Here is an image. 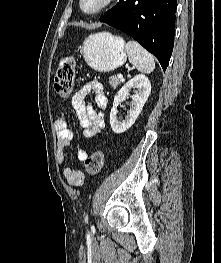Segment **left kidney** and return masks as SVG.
Listing matches in <instances>:
<instances>
[{"mask_svg": "<svg viewBox=\"0 0 221 263\" xmlns=\"http://www.w3.org/2000/svg\"><path fill=\"white\" fill-rule=\"evenodd\" d=\"M132 88H137V91L135 95L130 96L129 91ZM150 92L151 83L145 75H137L133 77L120 89L114 97L113 107L110 112V125L114 133H123L135 123ZM128 96L132 98V104L130 110L127 112L125 120L120 121L117 119V106Z\"/></svg>", "mask_w": 221, "mask_h": 263, "instance_id": "1", "label": "left kidney"}]
</instances>
